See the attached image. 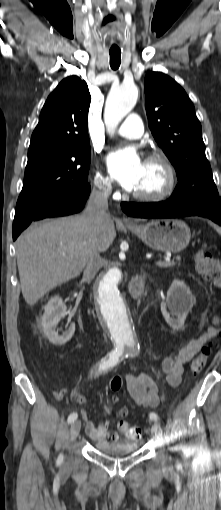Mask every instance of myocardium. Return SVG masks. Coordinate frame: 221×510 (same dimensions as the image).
Returning a JSON list of instances; mask_svg holds the SVG:
<instances>
[{"label":"myocardium","mask_w":221,"mask_h":510,"mask_svg":"<svg viewBox=\"0 0 221 510\" xmlns=\"http://www.w3.org/2000/svg\"><path fill=\"white\" fill-rule=\"evenodd\" d=\"M145 162H157L162 165L166 172V184L165 186L157 193L153 194H143V193H137L133 192L132 196L138 201L141 202H159L167 199L170 197L175 188L177 183V177H176V171L172 164V162L169 160V158L161 153H153L150 154L146 159Z\"/></svg>","instance_id":"obj_1"}]
</instances>
